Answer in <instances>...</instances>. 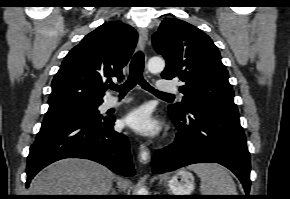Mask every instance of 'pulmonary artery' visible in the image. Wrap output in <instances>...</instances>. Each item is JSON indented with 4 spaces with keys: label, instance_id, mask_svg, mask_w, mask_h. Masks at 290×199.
Wrapping results in <instances>:
<instances>
[{
    "label": "pulmonary artery",
    "instance_id": "1",
    "mask_svg": "<svg viewBox=\"0 0 290 199\" xmlns=\"http://www.w3.org/2000/svg\"><path fill=\"white\" fill-rule=\"evenodd\" d=\"M157 89L158 91L163 92V93H173L177 91V87L175 83L164 81V80H159L157 82ZM127 102H129L128 98L118 99L117 97L110 96L105 100L103 106L105 109H110L113 107L123 105Z\"/></svg>",
    "mask_w": 290,
    "mask_h": 199
}]
</instances>
